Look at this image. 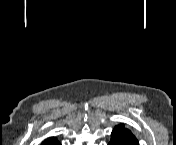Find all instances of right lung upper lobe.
I'll list each match as a JSON object with an SVG mask.
<instances>
[{"mask_svg": "<svg viewBox=\"0 0 176 145\" xmlns=\"http://www.w3.org/2000/svg\"><path fill=\"white\" fill-rule=\"evenodd\" d=\"M42 145H59V142L56 138L50 137L46 139Z\"/></svg>", "mask_w": 176, "mask_h": 145, "instance_id": "1", "label": "right lung upper lobe"}]
</instances>
